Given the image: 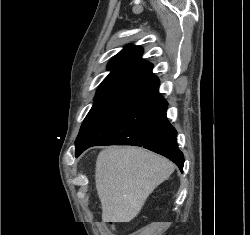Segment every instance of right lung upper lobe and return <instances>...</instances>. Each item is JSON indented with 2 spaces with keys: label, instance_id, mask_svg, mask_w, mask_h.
I'll use <instances>...</instances> for the list:
<instances>
[{
  "label": "right lung upper lobe",
  "instance_id": "right-lung-upper-lobe-1",
  "mask_svg": "<svg viewBox=\"0 0 250 235\" xmlns=\"http://www.w3.org/2000/svg\"><path fill=\"white\" fill-rule=\"evenodd\" d=\"M142 48L129 45L114 56L108 64L110 74L100 84L95 97H132L158 79L153 65L141 58Z\"/></svg>",
  "mask_w": 250,
  "mask_h": 235
}]
</instances>
